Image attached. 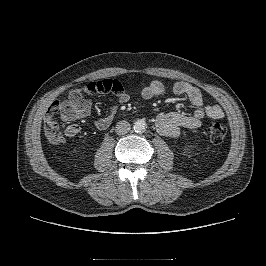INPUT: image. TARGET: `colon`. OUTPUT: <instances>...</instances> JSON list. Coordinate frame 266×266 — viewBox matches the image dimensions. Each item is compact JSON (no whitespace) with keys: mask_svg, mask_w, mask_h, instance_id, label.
Instances as JSON below:
<instances>
[{"mask_svg":"<svg viewBox=\"0 0 266 266\" xmlns=\"http://www.w3.org/2000/svg\"><path fill=\"white\" fill-rule=\"evenodd\" d=\"M116 93L120 94L123 92V86L118 80L114 79H101L92 81L82 86L75 87L70 91L71 96L75 97L78 95H95L98 93ZM56 112L52 111L51 108L48 110L45 116V129L47 131H56L58 122L55 115ZM227 130L225 126L218 122H212L208 125V135L210 142L214 145L221 144L226 136Z\"/></svg>","mask_w":266,"mask_h":266,"instance_id":"1","label":"colon"}]
</instances>
